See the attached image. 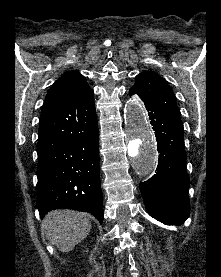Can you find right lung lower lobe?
<instances>
[{"label": "right lung lower lobe", "instance_id": "98d812e1", "mask_svg": "<svg viewBox=\"0 0 221 277\" xmlns=\"http://www.w3.org/2000/svg\"><path fill=\"white\" fill-rule=\"evenodd\" d=\"M94 93L44 105L38 136L37 207L40 216L67 208L104 212L99 172V132Z\"/></svg>", "mask_w": 221, "mask_h": 277}]
</instances>
